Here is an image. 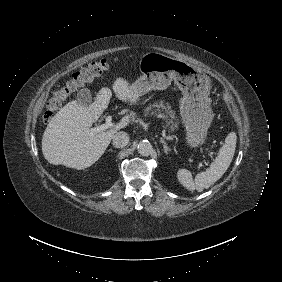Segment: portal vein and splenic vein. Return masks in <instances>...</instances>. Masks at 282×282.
<instances>
[{"label":"portal vein and splenic vein","instance_id":"18ae733b","mask_svg":"<svg viewBox=\"0 0 282 282\" xmlns=\"http://www.w3.org/2000/svg\"><path fill=\"white\" fill-rule=\"evenodd\" d=\"M123 124H124V123H122V122H114V121H112V118H111V117H106L105 123L96 126V127L93 129V132H95V133H100V132H103V131H105V130H107V129H110V128L122 127ZM197 148H200V149H202L203 151H206V153H207L208 155H210L211 160H214V157H213L212 152H210L209 150H206V148H205L204 146L197 145Z\"/></svg>","mask_w":282,"mask_h":282}]
</instances>
